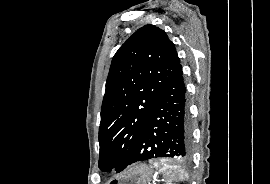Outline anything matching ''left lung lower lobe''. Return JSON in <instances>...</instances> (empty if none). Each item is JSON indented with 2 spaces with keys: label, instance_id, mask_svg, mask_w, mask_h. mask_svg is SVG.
<instances>
[{
  "label": "left lung lower lobe",
  "instance_id": "obj_1",
  "mask_svg": "<svg viewBox=\"0 0 270 184\" xmlns=\"http://www.w3.org/2000/svg\"><path fill=\"white\" fill-rule=\"evenodd\" d=\"M191 155V122L182 66L179 65L160 94L126 167L152 158L188 161Z\"/></svg>",
  "mask_w": 270,
  "mask_h": 184
}]
</instances>
